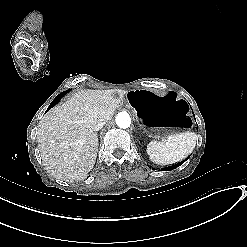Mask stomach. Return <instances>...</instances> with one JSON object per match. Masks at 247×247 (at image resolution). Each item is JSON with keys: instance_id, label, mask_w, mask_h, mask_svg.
<instances>
[{"instance_id": "0dacf381", "label": "stomach", "mask_w": 247, "mask_h": 247, "mask_svg": "<svg viewBox=\"0 0 247 247\" xmlns=\"http://www.w3.org/2000/svg\"><path fill=\"white\" fill-rule=\"evenodd\" d=\"M127 99L151 137L168 138L184 133L192 125L188 104L175 92L133 90L128 92Z\"/></svg>"}]
</instances>
